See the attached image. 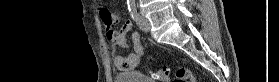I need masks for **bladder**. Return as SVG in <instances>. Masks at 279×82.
Returning a JSON list of instances; mask_svg holds the SVG:
<instances>
[{"instance_id": "1", "label": "bladder", "mask_w": 279, "mask_h": 82, "mask_svg": "<svg viewBox=\"0 0 279 82\" xmlns=\"http://www.w3.org/2000/svg\"><path fill=\"white\" fill-rule=\"evenodd\" d=\"M116 82H154L146 75L138 72H122L115 76Z\"/></svg>"}]
</instances>
